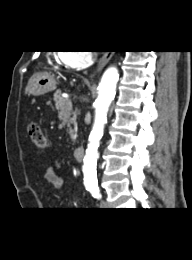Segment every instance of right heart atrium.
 <instances>
[{"label": "right heart atrium", "mask_w": 192, "mask_h": 260, "mask_svg": "<svg viewBox=\"0 0 192 260\" xmlns=\"http://www.w3.org/2000/svg\"><path fill=\"white\" fill-rule=\"evenodd\" d=\"M62 61L71 68H83L90 63L91 54L87 51H68L63 54Z\"/></svg>", "instance_id": "obj_1"}]
</instances>
